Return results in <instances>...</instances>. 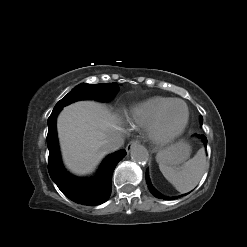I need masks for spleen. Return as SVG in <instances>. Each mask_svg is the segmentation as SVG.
<instances>
[{
    "mask_svg": "<svg viewBox=\"0 0 247 247\" xmlns=\"http://www.w3.org/2000/svg\"><path fill=\"white\" fill-rule=\"evenodd\" d=\"M160 156L159 153L158 160ZM207 167L208 162L203 149L180 167H171L164 160H159V168L163 176L181 193L192 190L199 183Z\"/></svg>",
    "mask_w": 247,
    "mask_h": 247,
    "instance_id": "1",
    "label": "spleen"
}]
</instances>
